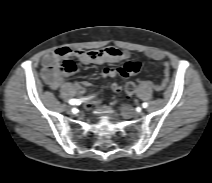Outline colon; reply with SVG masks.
Returning <instances> with one entry per match:
<instances>
[{
	"label": "colon",
	"mask_w": 212,
	"mask_h": 183,
	"mask_svg": "<svg viewBox=\"0 0 212 183\" xmlns=\"http://www.w3.org/2000/svg\"><path fill=\"white\" fill-rule=\"evenodd\" d=\"M77 69H78L77 64L74 61L68 59V60H65L61 64V66L58 68V73L60 75L64 74V73H73V72H76ZM124 89H125L126 94H128V95L133 94L134 89H135L134 82H132V81L127 82L125 84Z\"/></svg>",
	"instance_id": "1"
}]
</instances>
